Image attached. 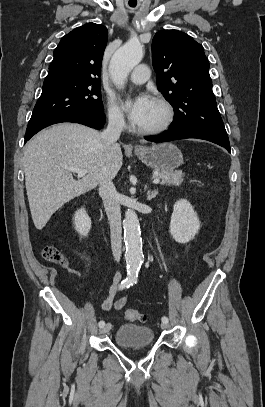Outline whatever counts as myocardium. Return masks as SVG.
Returning <instances> with one entry per match:
<instances>
[{
    "label": "myocardium",
    "mask_w": 265,
    "mask_h": 407,
    "mask_svg": "<svg viewBox=\"0 0 265 407\" xmlns=\"http://www.w3.org/2000/svg\"><path fill=\"white\" fill-rule=\"evenodd\" d=\"M154 101L158 103L164 111L163 120L155 127L143 129V128H136L137 133L141 135H157L164 131H166L173 123L175 118V110L173 105L164 97L156 96Z\"/></svg>",
    "instance_id": "1"
}]
</instances>
